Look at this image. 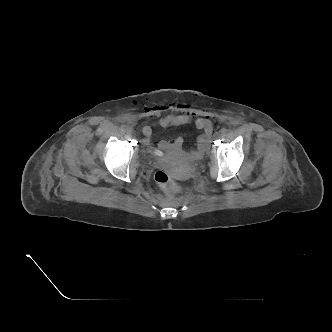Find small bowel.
Segmentation results:
<instances>
[{"instance_id": "small-bowel-1", "label": "small bowel", "mask_w": 332, "mask_h": 332, "mask_svg": "<svg viewBox=\"0 0 332 332\" xmlns=\"http://www.w3.org/2000/svg\"><path fill=\"white\" fill-rule=\"evenodd\" d=\"M166 112H168V114L161 117V115ZM146 116L157 118L151 125H146L143 128L145 137L142 143L148 146L150 151L154 152L151 147L153 126L171 128L191 123L201 132L196 145L198 152H203L207 148L213 132V123L208 117L196 116L187 105L181 103L155 105L146 110ZM182 143V137L178 136L171 141H160L158 148L160 150H167L169 148L180 147Z\"/></svg>"}]
</instances>
